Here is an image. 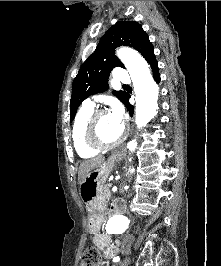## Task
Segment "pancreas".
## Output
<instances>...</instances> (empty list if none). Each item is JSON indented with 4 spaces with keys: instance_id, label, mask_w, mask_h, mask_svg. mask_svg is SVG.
<instances>
[{
    "instance_id": "pancreas-1",
    "label": "pancreas",
    "mask_w": 221,
    "mask_h": 266,
    "mask_svg": "<svg viewBox=\"0 0 221 266\" xmlns=\"http://www.w3.org/2000/svg\"><path fill=\"white\" fill-rule=\"evenodd\" d=\"M103 191H104L105 197L108 198V199H110L111 192H110V185L109 184L104 185Z\"/></svg>"
}]
</instances>
